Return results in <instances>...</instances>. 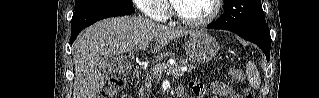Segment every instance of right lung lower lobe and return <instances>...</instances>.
<instances>
[{
  "label": "right lung lower lobe",
  "instance_id": "98d812e1",
  "mask_svg": "<svg viewBox=\"0 0 319 98\" xmlns=\"http://www.w3.org/2000/svg\"><path fill=\"white\" fill-rule=\"evenodd\" d=\"M133 12H135L134 8L117 6H103L75 11L72 17L71 43L74 42L77 35L84 28L95 23L96 21L108 17L124 16Z\"/></svg>",
  "mask_w": 319,
  "mask_h": 98
}]
</instances>
